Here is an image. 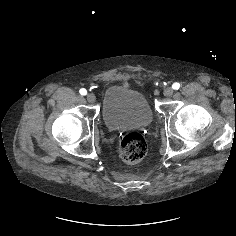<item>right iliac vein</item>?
Masks as SVG:
<instances>
[{
    "label": "right iliac vein",
    "mask_w": 236,
    "mask_h": 236,
    "mask_svg": "<svg viewBox=\"0 0 236 236\" xmlns=\"http://www.w3.org/2000/svg\"><path fill=\"white\" fill-rule=\"evenodd\" d=\"M88 102L90 103H94L96 101V97L93 93H88L86 96Z\"/></svg>",
    "instance_id": "1"
}]
</instances>
